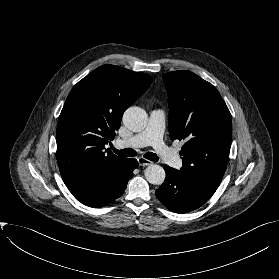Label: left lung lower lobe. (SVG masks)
Wrapping results in <instances>:
<instances>
[{"instance_id": "0a47b994", "label": "left lung lower lobe", "mask_w": 279, "mask_h": 279, "mask_svg": "<svg viewBox=\"0 0 279 279\" xmlns=\"http://www.w3.org/2000/svg\"><path fill=\"white\" fill-rule=\"evenodd\" d=\"M166 178L156 190L159 201L170 211L186 213L202 206L216 189L201 181L184 176L180 171L164 166Z\"/></svg>"}]
</instances>
